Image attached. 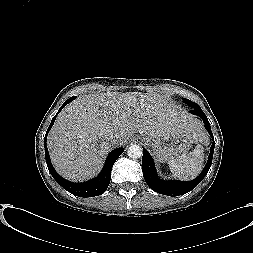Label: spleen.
<instances>
[{
    "mask_svg": "<svg viewBox=\"0 0 253 253\" xmlns=\"http://www.w3.org/2000/svg\"><path fill=\"white\" fill-rule=\"evenodd\" d=\"M203 162L204 150L199 144L192 152L179 154L168 160L170 171L175 177L183 180L195 178L202 171Z\"/></svg>",
    "mask_w": 253,
    "mask_h": 253,
    "instance_id": "obj_1",
    "label": "spleen"
}]
</instances>
